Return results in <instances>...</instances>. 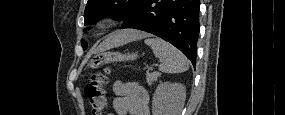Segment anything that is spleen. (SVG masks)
Wrapping results in <instances>:
<instances>
[{
	"label": "spleen",
	"mask_w": 285,
	"mask_h": 115,
	"mask_svg": "<svg viewBox=\"0 0 285 115\" xmlns=\"http://www.w3.org/2000/svg\"><path fill=\"white\" fill-rule=\"evenodd\" d=\"M145 44L150 46L155 57L162 61L159 70L164 73H181L189 68V62L186 56L161 38H148Z\"/></svg>",
	"instance_id": "spleen-1"
}]
</instances>
